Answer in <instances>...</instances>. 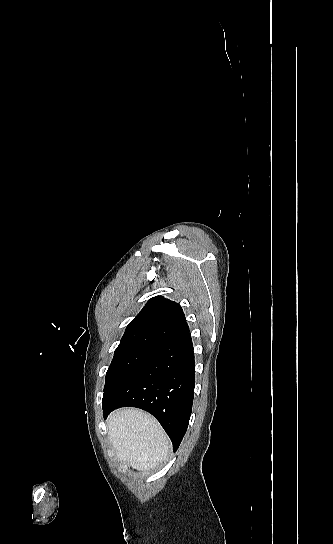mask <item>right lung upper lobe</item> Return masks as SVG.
<instances>
[{
    "label": "right lung upper lobe",
    "mask_w": 333,
    "mask_h": 544,
    "mask_svg": "<svg viewBox=\"0 0 333 544\" xmlns=\"http://www.w3.org/2000/svg\"><path fill=\"white\" fill-rule=\"evenodd\" d=\"M188 332L189 327L181 306L157 296L150 299L127 326L117 349L153 347Z\"/></svg>",
    "instance_id": "right-lung-upper-lobe-1"
}]
</instances>
